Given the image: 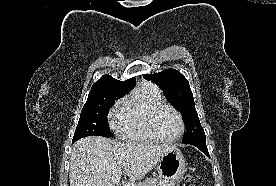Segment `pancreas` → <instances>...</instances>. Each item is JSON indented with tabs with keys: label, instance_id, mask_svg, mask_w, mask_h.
<instances>
[{
	"label": "pancreas",
	"instance_id": "obj_1",
	"mask_svg": "<svg viewBox=\"0 0 276 186\" xmlns=\"http://www.w3.org/2000/svg\"><path fill=\"white\" fill-rule=\"evenodd\" d=\"M139 186H165V181L161 177H157L154 179H147Z\"/></svg>",
	"mask_w": 276,
	"mask_h": 186
}]
</instances>
